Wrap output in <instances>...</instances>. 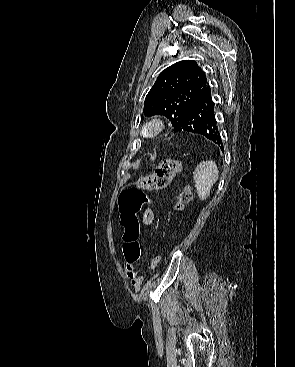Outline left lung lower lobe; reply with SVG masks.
<instances>
[{
    "label": "left lung lower lobe",
    "mask_w": 295,
    "mask_h": 367,
    "mask_svg": "<svg viewBox=\"0 0 295 367\" xmlns=\"http://www.w3.org/2000/svg\"><path fill=\"white\" fill-rule=\"evenodd\" d=\"M190 132L200 134L216 143L223 151V143L218 130L214 111V102L211 97L209 85L187 111L182 122L176 127L174 133Z\"/></svg>",
    "instance_id": "obj_1"
}]
</instances>
